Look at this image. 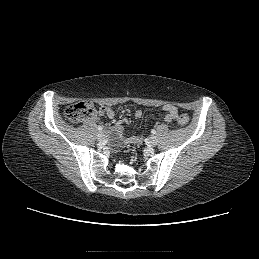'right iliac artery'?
<instances>
[{"instance_id":"obj_1","label":"right iliac artery","mask_w":259,"mask_h":259,"mask_svg":"<svg viewBox=\"0 0 259 259\" xmlns=\"http://www.w3.org/2000/svg\"><path fill=\"white\" fill-rule=\"evenodd\" d=\"M97 129H98L99 131H102L103 128H102L101 126H98Z\"/></svg>"}]
</instances>
